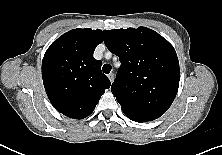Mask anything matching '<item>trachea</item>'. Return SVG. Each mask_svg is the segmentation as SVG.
<instances>
[{
	"label": "trachea",
	"instance_id": "obj_1",
	"mask_svg": "<svg viewBox=\"0 0 222 155\" xmlns=\"http://www.w3.org/2000/svg\"><path fill=\"white\" fill-rule=\"evenodd\" d=\"M111 68H112V67H111L110 64H105V65L103 66L102 70H103L104 73L108 74V73H110Z\"/></svg>",
	"mask_w": 222,
	"mask_h": 155
}]
</instances>
